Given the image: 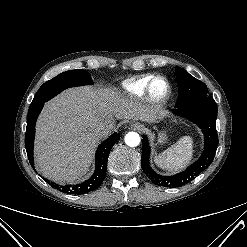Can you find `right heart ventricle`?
<instances>
[{
    "label": "right heart ventricle",
    "mask_w": 247,
    "mask_h": 247,
    "mask_svg": "<svg viewBox=\"0 0 247 247\" xmlns=\"http://www.w3.org/2000/svg\"><path fill=\"white\" fill-rule=\"evenodd\" d=\"M153 76L150 74L137 76L124 81L121 85L125 95L132 98H140L146 93V88Z\"/></svg>",
    "instance_id": "obj_1"
}]
</instances>
